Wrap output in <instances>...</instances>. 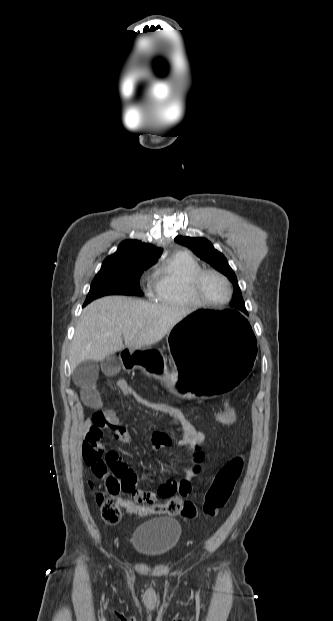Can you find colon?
Instances as JSON below:
<instances>
[{
	"label": "colon",
	"mask_w": 333,
	"mask_h": 621,
	"mask_svg": "<svg viewBox=\"0 0 333 621\" xmlns=\"http://www.w3.org/2000/svg\"><path fill=\"white\" fill-rule=\"evenodd\" d=\"M131 397L139 404L149 409L170 416L176 414L185 416L181 404L173 399L159 395H143L134 389ZM214 417L220 424H230L237 418V409L232 401L228 399L223 407L214 414ZM243 465V458L241 456H236L229 460L218 471L210 488L205 494L202 507L205 515L215 517L227 504L242 473ZM94 475L98 480L103 482V487L95 490V500L100 506L102 519L108 524H116L121 520L122 507L126 508L129 512L139 515L166 513L169 515H181L185 518L192 519L197 514L196 507L192 502L182 500L178 497L170 498L165 503H154L138 509H133L128 506L125 500L119 497V494L122 491H132L136 487L138 481L136 474L128 466L115 468L108 463L102 462L98 469L94 471Z\"/></svg>",
	"instance_id": "1"
}]
</instances>
